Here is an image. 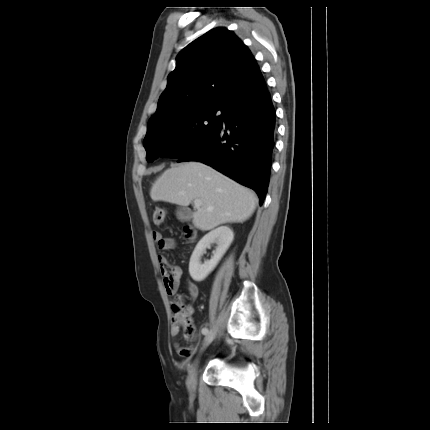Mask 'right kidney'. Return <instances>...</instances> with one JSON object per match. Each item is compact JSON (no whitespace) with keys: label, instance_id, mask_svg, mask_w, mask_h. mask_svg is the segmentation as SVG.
<instances>
[{"label":"right kidney","instance_id":"obj_1","mask_svg":"<svg viewBox=\"0 0 430 430\" xmlns=\"http://www.w3.org/2000/svg\"><path fill=\"white\" fill-rule=\"evenodd\" d=\"M233 238V231L227 226H220L201 238L197 243L189 262V274L194 281H203L214 270L231 245ZM213 243L217 244L213 257L210 261H205L202 264L200 259L203 252Z\"/></svg>","mask_w":430,"mask_h":430}]
</instances>
